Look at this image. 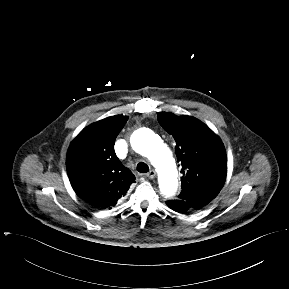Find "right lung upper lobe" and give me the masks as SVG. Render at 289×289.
I'll return each mask as SVG.
<instances>
[{
    "label": "right lung upper lobe",
    "instance_id": "obj_1",
    "mask_svg": "<svg viewBox=\"0 0 289 289\" xmlns=\"http://www.w3.org/2000/svg\"><path fill=\"white\" fill-rule=\"evenodd\" d=\"M128 120L111 116L89 125L72 141L67 172L75 192L85 201L110 208L124 197L135 176L117 158L114 143Z\"/></svg>",
    "mask_w": 289,
    "mask_h": 289
}]
</instances>
